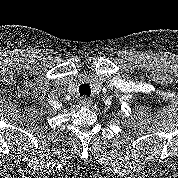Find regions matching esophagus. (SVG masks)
<instances>
[{
  "label": "esophagus",
  "mask_w": 178,
  "mask_h": 178,
  "mask_svg": "<svg viewBox=\"0 0 178 178\" xmlns=\"http://www.w3.org/2000/svg\"><path fill=\"white\" fill-rule=\"evenodd\" d=\"M91 104H92V101L87 97H82L80 100V105L82 107H89L91 106Z\"/></svg>",
  "instance_id": "1"
}]
</instances>
